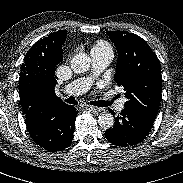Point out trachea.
<instances>
[{
	"mask_svg": "<svg viewBox=\"0 0 183 183\" xmlns=\"http://www.w3.org/2000/svg\"><path fill=\"white\" fill-rule=\"evenodd\" d=\"M66 102L69 104L76 105L77 101L74 99V97H69L66 99ZM112 104V102L109 101H93L91 102V105L98 106V107H108Z\"/></svg>",
	"mask_w": 183,
	"mask_h": 183,
	"instance_id": "obj_1",
	"label": "trachea"
}]
</instances>
